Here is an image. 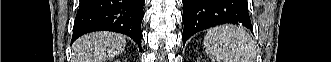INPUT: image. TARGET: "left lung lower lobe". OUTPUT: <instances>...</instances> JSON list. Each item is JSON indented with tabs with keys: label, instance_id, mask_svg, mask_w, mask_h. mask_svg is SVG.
Wrapping results in <instances>:
<instances>
[{
	"label": "left lung lower lobe",
	"instance_id": "left-lung-lower-lobe-1",
	"mask_svg": "<svg viewBox=\"0 0 331 62\" xmlns=\"http://www.w3.org/2000/svg\"><path fill=\"white\" fill-rule=\"evenodd\" d=\"M183 46L196 32L224 23L252 30L246 0H182Z\"/></svg>",
	"mask_w": 331,
	"mask_h": 62
}]
</instances>
